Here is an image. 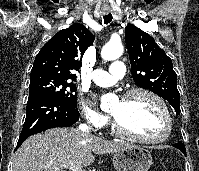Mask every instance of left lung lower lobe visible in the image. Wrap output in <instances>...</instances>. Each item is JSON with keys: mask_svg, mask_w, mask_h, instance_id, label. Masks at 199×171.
I'll use <instances>...</instances> for the list:
<instances>
[{"mask_svg": "<svg viewBox=\"0 0 199 171\" xmlns=\"http://www.w3.org/2000/svg\"><path fill=\"white\" fill-rule=\"evenodd\" d=\"M173 146H174L175 148L180 149L184 154H186V149H185V146L183 145L182 142H178V143H176V144H173Z\"/></svg>", "mask_w": 199, "mask_h": 171, "instance_id": "obj_1", "label": "left lung lower lobe"}]
</instances>
